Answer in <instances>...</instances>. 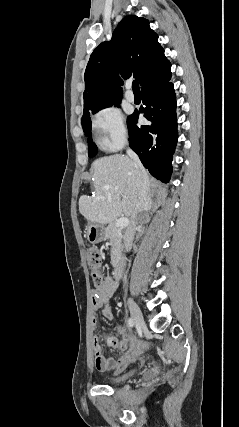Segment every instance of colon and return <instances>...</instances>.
Masks as SVG:
<instances>
[{"label": "colon", "instance_id": "1", "mask_svg": "<svg viewBox=\"0 0 239 427\" xmlns=\"http://www.w3.org/2000/svg\"><path fill=\"white\" fill-rule=\"evenodd\" d=\"M87 263L90 271L93 274L95 286L100 285L104 279V270L102 255L97 247L90 246L87 248Z\"/></svg>", "mask_w": 239, "mask_h": 427}]
</instances>
